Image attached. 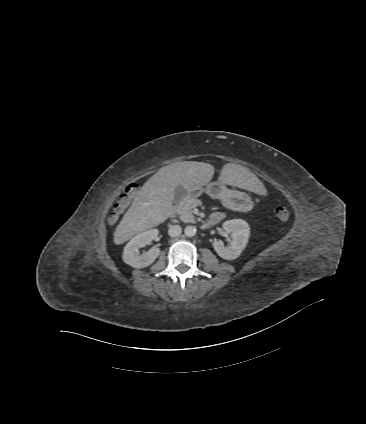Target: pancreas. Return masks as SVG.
I'll use <instances>...</instances> for the list:
<instances>
[{"mask_svg":"<svg viewBox=\"0 0 366 424\" xmlns=\"http://www.w3.org/2000/svg\"><path fill=\"white\" fill-rule=\"evenodd\" d=\"M199 204L197 200H186L179 204L178 206V214L181 221L185 223H195V218L193 215V208Z\"/></svg>","mask_w":366,"mask_h":424,"instance_id":"1","label":"pancreas"}]
</instances>
